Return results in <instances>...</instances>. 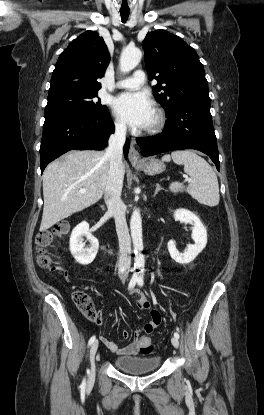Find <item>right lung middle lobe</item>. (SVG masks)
Segmentation results:
<instances>
[{
    "instance_id": "obj_1",
    "label": "right lung middle lobe",
    "mask_w": 264,
    "mask_h": 415,
    "mask_svg": "<svg viewBox=\"0 0 264 415\" xmlns=\"http://www.w3.org/2000/svg\"><path fill=\"white\" fill-rule=\"evenodd\" d=\"M108 112V108L97 100V91L63 92L48 97L45 119L61 115H95Z\"/></svg>"
}]
</instances>
